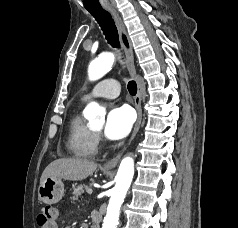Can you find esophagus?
<instances>
[{
    "label": "esophagus",
    "mask_w": 238,
    "mask_h": 228,
    "mask_svg": "<svg viewBox=\"0 0 238 228\" xmlns=\"http://www.w3.org/2000/svg\"><path fill=\"white\" fill-rule=\"evenodd\" d=\"M108 11L110 12L112 18L114 19L116 27L118 29L120 41H121V44L123 46V49H124L125 55H126L128 70H129L131 76L135 79V81L137 83V94L134 98V104H135V108L137 110V121L135 123L132 135L129 140V143H130L133 140V138L135 137V135L137 134L140 124H141V120H142V109H141L142 85H141V82L137 76L136 68L134 65L133 48H132V44H131L130 38L128 36V33L126 31L125 25L119 15V13L117 12V10L115 8L110 7V8H108ZM125 149L126 148H124L123 151H121L119 154H117L114 158L107 161L103 165V167L105 169L115 168Z\"/></svg>",
    "instance_id": "1"
}]
</instances>
